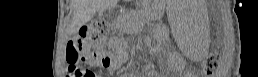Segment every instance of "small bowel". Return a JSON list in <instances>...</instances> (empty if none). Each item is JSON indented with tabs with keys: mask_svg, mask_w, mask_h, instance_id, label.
<instances>
[{
	"mask_svg": "<svg viewBox=\"0 0 258 77\" xmlns=\"http://www.w3.org/2000/svg\"><path fill=\"white\" fill-rule=\"evenodd\" d=\"M85 61L92 66H98L107 70L113 69L114 56L111 52H96L91 53L87 48H82ZM86 77H93L91 72H87Z\"/></svg>",
	"mask_w": 258,
	"mask_h": 77,
	"instance_id": "obj_1",
	"label": "small bowel"
}]
</instances>
